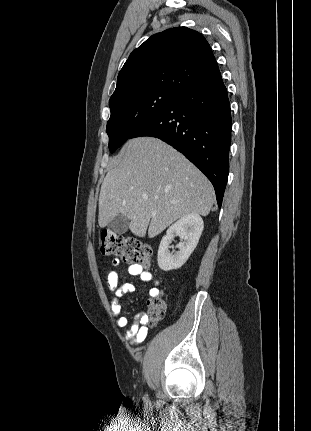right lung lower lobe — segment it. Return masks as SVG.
I'll use <instances>...</instances> for the list:
<instances>
[{"label":"right lung lower lobe","instance_id":"obj_1","mask_svg":"<svg viewBox=\"0 0 311 431\" xmlns=\"http://www.w3.org/2000/svg\"><path fill=\"white\" fill-rule=\"evenodd\" d=\"M231 112L221 75L187 89L129 139L159 138L197 166L215 188L218 206L229 173Z\"/></svg>","mask_w":311,"mask_h":431}]
</instances>
